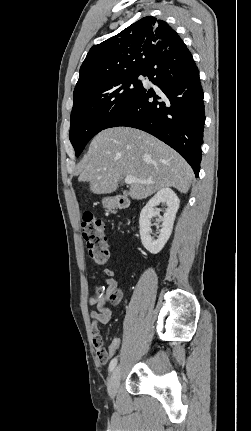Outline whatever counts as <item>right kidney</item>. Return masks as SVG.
<instances>
[{"label":"right kidney","mask_w":251,"mask_h":431,"mask_svg":"<svg viewBox=\"0 0 251 431\" xmlns=\"http://www.w3.org/2000/svg\"><path fill=\"white\" fill-rule=\"evenodd\" d=\"M161 203L166 205V211L163 217H160L162 221L160 234L157 239H153L151 236V219L155 216H159L160 210L155 209V207ZM179 204L180 200L175 192L170 188H163L159 190L142 209L139 219L141 242L150 253H159L167 243L173 230Z\"/></svg>","instance_id":"1"}]
</instances>
